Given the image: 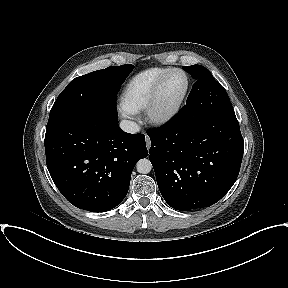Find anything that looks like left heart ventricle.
Listing matches in <instances>:
<instances>
[{
	"instance_id": "b2bd125f",
	"label": "left heart ventricle",
	"mask_w": 288,
	"mask_h": 288,
	"mask_svg": "<svg viewBox=\"0 0 288 288\" xmlns=\"http://www.w3.org/2000/svg\"><path fill=\"white\" fill-rule=\"evenodd\" d=\"M185 87V78L179 72H174L169 75L165 81L160 100L158 104V109L161 112L167 111L173 107V105L180 98Z\"/></svg>"
}]
</instances>
